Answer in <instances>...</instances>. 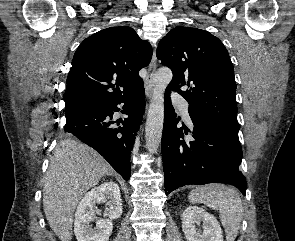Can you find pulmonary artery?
Wrapping results in <instances>:
<instances>
[{
    "label": "pulmonary artery",
    "instance_id": "pulmonary-artery-1",
    "mask_svg": "<svg viewBox=\"0 0 295 241\" xmlns=\"http://www.w3.org/2000/svg\"><path fill=\"white\" fill-rule=\"evenodd\" d=\"M172 100L174 104L180 109L182 115L187 121H190V116L188 112L189 103L178 93L172 94Z\"/></svg>",
    "mask_w": 295,
    "mask_h": 241
}]
</instances>
